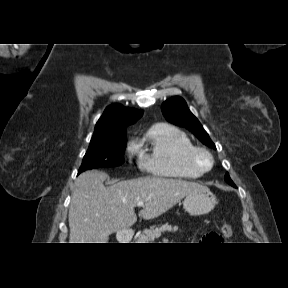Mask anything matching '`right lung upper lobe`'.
Masks as SVG:
<instances>
[{
  "label": "right lung upper lobe",
  "mask_w": 288,
  "mask_h": 288,
  "mask_svg": "<svg viewBox=\"0 0 288 288\" xmlns=\"http://www.w3.org/2000/svg\"><path fill=\"white\" fill-rule=\"evenodd\" d=\"M142 116V111L127 108L119 104L108 106L96 123L91 140L116 136L126 133L127 126L135 123Z\"/></svg>",
  "instance_id": "1"
}]
</instances>
